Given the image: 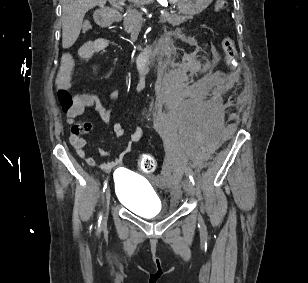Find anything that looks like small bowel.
Returning <instances> with one entry per match:
<instances>
[{"mask_svg":"<svg viewBox=\"0 0 308 283\" xmlns=\"http://www.w3.org/2000/svg\"><path fill=\"white\" fill-rule=\"evenodd\" d=\"M109 46V42L105 38H97L93 41L86 42L79 49V54L81 57L90 58L97 53L105 51ZM74 79V62L70 57H65L61 61V65L56 77V83L59 89L69 90L73 85ZM111 99L115 100L118 97V91H114L110 95ZM94 107L95 111L99 114L100 118L104 122H109L111 120L112 110L106 108L102 105L99 98L95 94L91 93H80L74 97V106L67 111L68 123L72 124L74 118L81 115L85 108ZM113 131L118 137H122L125 134V129L120 123H116L113 126ZM143 136L142 127L138 126L130 136V142L127 148L120 154L115 160L103 163L101 169L104 171H109L115 166L119 165L122 161L123 156L129 152L131 143L139 141ZM70 143L75 149L77 155L83 159L89 166L94 167L96 161L93 157L88 156L85 152L86 141L73 135H70ZM109 153L103 149L100 150L101 156H107Z\"/></svg>","mask_w":308,"mask_h":283,"instance_id":"c3829d8e","label":"small bowel"}]
</instances>
